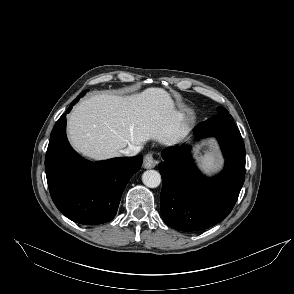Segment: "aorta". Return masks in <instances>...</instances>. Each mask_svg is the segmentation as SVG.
<instances>
[{
	"label": "aorta",
	"mask_w": 294,
	"mask_h": 294,
	"mask_svg": "<svg viewBox=\"0 0 294 294\" xmlns=\"http://www.w3.org/2000/svg\"><path fill=\"white\" fill-rule=\"evenodd\" d=\"M142 181L149 188H156L161 183V175L156 170H147L142 175Z\"/></svg>",
	"instance_id": "762f6f07"
}]
</instances>
